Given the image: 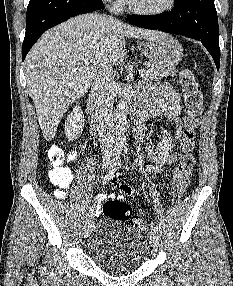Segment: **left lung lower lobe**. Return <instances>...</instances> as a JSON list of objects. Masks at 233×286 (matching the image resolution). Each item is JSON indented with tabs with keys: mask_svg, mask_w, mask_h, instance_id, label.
Here are the masks:
<instances>
[{
	"mask_svg": "<svg viewBox=\"0 0 233 286\" xmlns=\"http://www.w3.org/2000/svg\"><path fill=\"white\" fill-rule=\"evenodd\" d=\"M128 20L137 26L159 29L201 41L219 70L218 17L214 0H175L169 13L129 15Z\"/></svg>",
	"mask_w": 233,
	"mask_h": 286,
	"instance_id": "0a47b994",
	"label": "left lung lower lobe"
}]
</instances>
